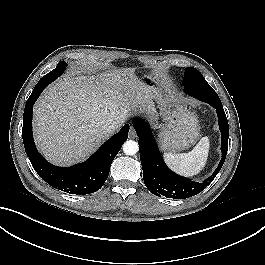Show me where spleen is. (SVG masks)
<instances>
[{
  "instance_id": "1",
  "label": "spleen",
  "mask_w": 265,
  "mask_h": 265,
  "mask_svg": "<svg viewBox=\"0 0 265 265\" xmlns=\"http://www.w3.org/2000/svg\"><path fill=\"white\" fill-rule=\"evenodd\" d=\"M209 147V138L203 137L188 153L173 154L167 152L163 156L167 165L175 172L184 176H194L205 167Z\"/></svg>"
}]
</instances>
